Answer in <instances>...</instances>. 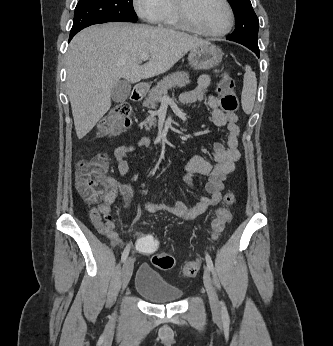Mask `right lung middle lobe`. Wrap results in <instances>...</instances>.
<instances>
[{"label":"right lung middle lobe","instance_id":"dd1d6c3e","mask_svg":"<svg viewBox=\"0 0 333 346\" xmlns=\"http://www.w3.org/2000/svg\"><path fill=\"white\" fill-rule=\"evenodd\" d=\"M117 21H137L133 0H79L70 34L93 24Z\"/></svg>","mask_w":333,"mask_h":346}]
</instances>
